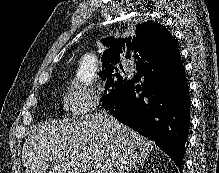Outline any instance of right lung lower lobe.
Returning <instances> with one entry per match:
<instances>
[{"label": "right lung lower lobe", "mask_w": 219, "mask_h": 173, "mask_svg": "<svg viewBox=\"0 0 219 173\" xmlns=\"http://www.w3.org/2000/svg\"><path fill=\"white\" fill-rule=\"evenodd\" d=\"M104 108L123 124L155 141L182 167L190 125V99L181 58L170 66L152 58L142 63Z\"/></svg>", "instance_id": "right-lung-lower-lobe-1"}]
</instances>
